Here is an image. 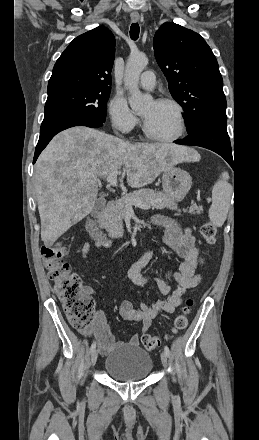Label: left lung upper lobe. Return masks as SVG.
Wrapping results in <instances>:
<instances>
[{"label":"left lung upper lobe","mask_w":259,"mask_h":440,"mask_svg":"<svg viewBox=\"0 0 259 440\" xmlns=\"http://www.w3.org/2000/svg\"><path fill=\"white\" fill-rule=\"evenodd\" d=\"M153 47L169 91L185 111L188 131L206 118L227 119L219 66L199 34L175 23H164L155 33Z\"/></svg>","instance_id":"obj_1"}]
</instances>
